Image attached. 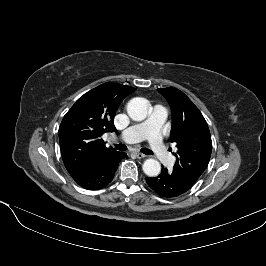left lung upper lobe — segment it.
<instances>
[{
    "instance_id": "obj_1",
    "label": "left lung upper lobe",
    "mask_w": 266,
    "mask_h": 266,
    "mask_svg": "<svg viewBox=\"0 0 266 266\" xmlns=\"http://www.w3.org/2000/svg\"><path fill=\"white\" fill-rule=\"evenodd\" d=\"M173 113L170 142L177 144L172 174L192 187L208 166L212 141L206 120L194 103L179 89L160 88Z\"/></svg>"
}]
</instances>
